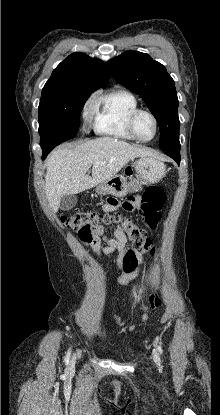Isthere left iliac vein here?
Returning <instances> with one entry per match:
<instances>
[{
    "label": "left iliac vein",
    "mask_w": 220,
    "mask_h": 415,
    "mask_svg": "<svg viewBox=\"0 0 220 415\" xmlns=\"http://www.w3.org/2000/svg\"><path fill=\"white\" fill-rule=\"evenodd\" d=\"M153 360L157 365L161 364L159 353L156 349L153 350Z\"/></svg>",
    "instance_id": "1"
}]
</instances>
